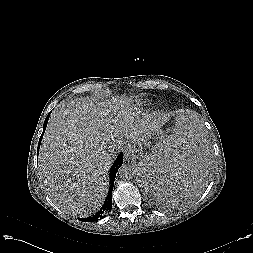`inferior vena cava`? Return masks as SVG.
<instances>
[{
    "mask_svg": "<svg viewBox=\"0 0 253 253\" xmlns=\"http://www.w3.org/2000/svg\"><path fill=\"white\" fill-rule=\"evenodd\" d=\"M119 147H117V146H113L112 148H110L108 151L109 152H111V153H113V152H118L119 151Z\"/></svg>",
    "mask_w": 253,
    "mask_h": 253,
    "instance_id": "602c4592",
    "label": "inferior vena cava"
}]
</instances>
